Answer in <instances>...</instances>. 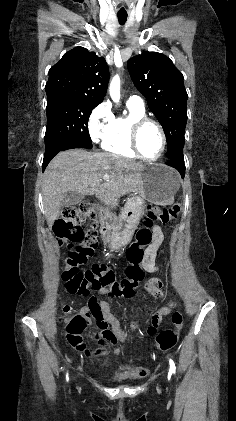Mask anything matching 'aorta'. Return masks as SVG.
Returning a JSON list of instances; mask_svg holds the SVG:
<instances>
[{
    "label": "aorta",
    "instance_id": "obj_1",
    "mask_svg": "<svg viewBox=\"0 0 236 421\" xmlns=\"http://www.w3.org/2000/svg\"><path fill=\"white\" fill-rule=\"evenodd\" d=\"M109 92L112 100H115V102H118L119 100V78L118 76H113L110 86H109Z\"/></svg>",
    "mask_w": 236,
    "mask_h": 421
}]
</instances>
